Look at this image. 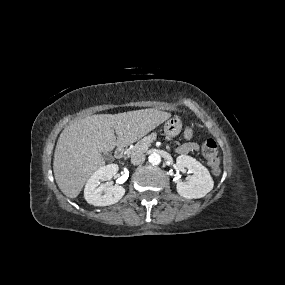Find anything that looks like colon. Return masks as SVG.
Returning <instances> with one entry per match:
<instances>
[{
	"instance_id": "obj_1",
	"label": "colon",
	"mask_w": 285,
	"mask_h": 285,
	"mask_svg": "<svg viewBox=\"0 0 285 285\" xmlns=\"http://www.w3.org/2000/svg\"><path fill=\"white\" fill-rule=\"evenodd\" d=\"M194 132V128L191 125H188L182 133V138L185 141H190L193 138ZM202 151L208 161V164L213 174H219L220 158L217 152L216 142L211 138L204 139L202 142Z\"/></svg>"
}]
</instances>
